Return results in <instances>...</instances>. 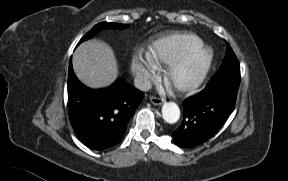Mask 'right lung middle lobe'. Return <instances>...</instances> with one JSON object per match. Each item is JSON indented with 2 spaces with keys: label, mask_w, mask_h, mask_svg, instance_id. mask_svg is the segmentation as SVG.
Here are the masks:
<instances>
[{
  "label": "right lung middle lobe",
  "mask_w": 288,
  "mask_h": 181,
  "mask_svg": "<svg viewBox=\"0 0 288 181\" xmlns=\"http://www.w3.org/2000/svg\"><path fill=\"white\" fill-rule=\"evenodd\" d=\"M126 24H118V23H107V22H101L93 27L91 31H89L81 40L79 43L82 41H85L87 39L92 38L97 32H99L102 29L106 28H114V29H123L126 28Z\"/></svg>",
  "instance_id": "obj_1"
}]
</instances>
